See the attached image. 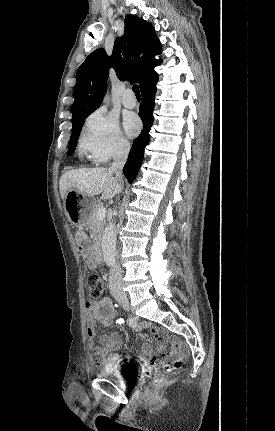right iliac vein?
<instances>
[{"label":"right iliac vein","mask_w":275,"mask_h":431,"mask_svg":"<svg viewBox=\"0 0 275 431\" xmlns=\"http://www.w3.org/2000/svg\"><path fill=\"white\" fill-rule=\"evenodd\" d=\"M115 298L124 309H129V300L125 293H117Z\"/></svg>","instance_id":"obj_1"}]
</instances>
